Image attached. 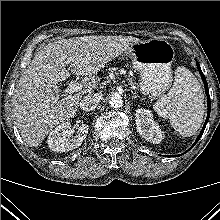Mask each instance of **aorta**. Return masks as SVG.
Segmentation results:
<instances>
[{
	"instance_id": "aorta-1",
	"label": "aorta",
	"mask_w": 220,
	"mask_h": 220,
	"mask_svg": "<svg viewBox=\"0 0 220 220\" xmlns=\"http://www.w3.org/2000/svg\"><path fill=\"white\" fill-rule=\"evenodd\" d=\"M109 104L112 108H120L123 105V99L119 94H113L110 97Z\"/></svg>"
}]
</instances>
